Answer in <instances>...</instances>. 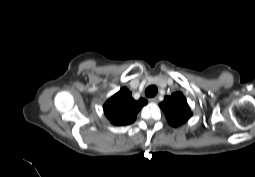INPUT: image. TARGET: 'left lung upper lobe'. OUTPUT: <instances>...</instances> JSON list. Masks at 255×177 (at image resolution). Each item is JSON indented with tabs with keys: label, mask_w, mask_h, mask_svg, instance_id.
<instances>
[{
	"label": "left lung upper lobe",
	"mask_w": 255,
	"mask_h": 177,
	"mask_svg": "<svg viewBox=\"0 0 255 177\" xmlns=\"http://www.w3.org/2000/svg\"><path fill=\"white\" fill-rule=\"evenodd\" d=\"M159 106L164 111L168 123L173 127L182 125L192 116L186 98L181 92L166 96Z\"/></svg>",
	"instance_id": "left-lung-upper-lobe-1"
}]
</instances>
